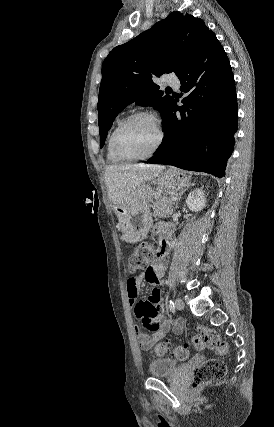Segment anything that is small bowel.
Wrapping results in <instances>:
<instances>
[{
	"label": "small bowel",
	"instance_id": "small-bowel-1",
	"mask_svg": "<svg viewBox=\"0 0 274 427\" xmlns=\"http://www.w3.org/2000/svg\"><path fill=\"white\" fill-rule=\"evenodd\" d=\"M162 226L163 225L158 227L159 234ZM167 267V261L161 258L152 264L154 271L149 269L146 273H142L128 279V303L130 305H134L136 303L140 293V286L144 281H148L153 284H160ZM154 274L155 277L151 278ZM132 316L134 319L133 324L135 326V335L142 350H145L146 346L153 347L156 342L165 337V335L170 331L176 334H179L182 331L183 323L180 319L172 321L168 318H163V305L161 304L159 289H150L149 299H139V304H136L135 311ZM138 327H144L145 332L156 333L152 336H148Z\"/></svg>",
	"mask_w": 274,
	"mask_h": 427
}]
</instances>
